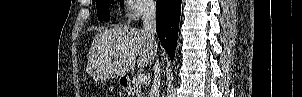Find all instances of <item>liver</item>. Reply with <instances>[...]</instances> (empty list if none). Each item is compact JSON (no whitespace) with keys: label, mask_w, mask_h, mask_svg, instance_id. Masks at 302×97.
<instances>
[{"label":"liver","mask_w":302,"mask_h":97,"mask_svg":"<svg viewBox=\"0 0 302 97\" xmlns=\"http://www.w3.org/2000/svg\"><path fill=\"white\" fill-rule=\"evenodd\" d=\"M156 47L144 30L117 26L100 31L90 47L88 73L97 78L125 76L136 65H150Z\"/></svg>","instance_id":"liver-1"}]
</instances>
